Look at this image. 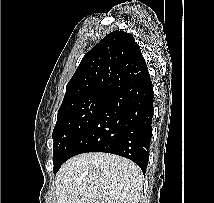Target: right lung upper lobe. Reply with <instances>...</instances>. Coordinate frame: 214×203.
<instances>
[{"instance_id": "cb5924a9", "label": "right lung upper lobe", "mask_w": 214, "mask_h": 203, "mask_svg": "<svg viewBox=\"0 0 214 203\" xmlns=\"http://www.w3.org/2000/svg\"><path fill=\"white\" fill-rule=\"evenodd\" d=\"M149 76L133 35L113 31L82 58L66 86L62 104L92 94L112 95Z\"/></svg>"}]
</instances>
